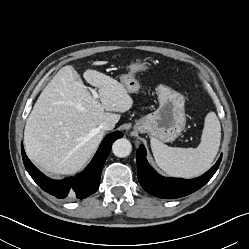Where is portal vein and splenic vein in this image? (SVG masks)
<instances>
[{"label": "portal vein and splenic vein", "instance_id": "obj_1", "mask_svg": "<svg viewBox=\"0 0 249 249\" xmlns=\"http://www.w3.org/2000/svg\"><path fill=\"white\" fill-rule=\"evenodd\" d=\"M92 94H93V98H94V99L99 98L98 93H97L94 89L92 90Z\"/></svg>", "mask_w": 249, "mask_h": 249}]
</instances>
